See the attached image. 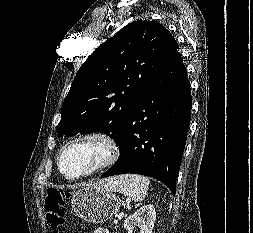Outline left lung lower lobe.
I'll return each mask as SVG.
<instances>
[{
	"label": "left lung lower lobe",
	"instance_id": "1",
	"mask_svg": "<svg viewBox=\"0 0 253 233\" xmlns=\"http://www.w3.org/2000/svg\"><path fill=\"white\" fill-rule=\"evenodd\" d=\"M192 97L179 52L136 105L124 123L117 162L101 177L141 174L176 191L181 159L191 118Z\"/></svg>",
	"mask_w": 253,
	"mask_h": 233
}]
</instances>
